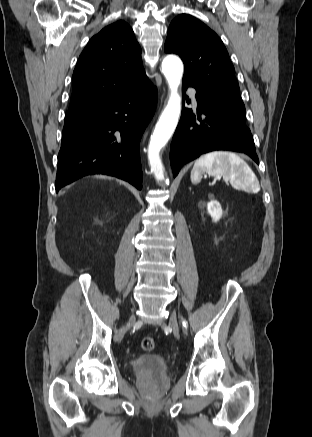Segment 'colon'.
Listing matches in <instances>:
<instances>
[{
	"label": "colon",
	"mask_w": 312,
	"mask_h": 437,
	"mask_svg": "<svg viewBox=\"0 0 312 437\" xmlns=\"http://www.w3.org/2000/svg\"><path fill=\"white\" fill-rule=\"evenodd\" d=\"M141 348L146 352H151L155 349V340L152 337H144L141 339Z\"/></svg>",
	"instance_id": "5ec220e1"
}]
</instances>
